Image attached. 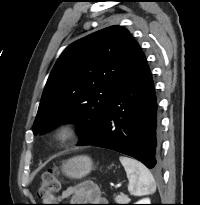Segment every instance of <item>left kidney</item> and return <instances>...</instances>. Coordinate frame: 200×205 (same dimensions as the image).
Instances as JSON below:
<instances>
[{
  "label": "left kidney",
  "mask_w": 200,
  "mask_h": 205,
  "mask_svg": "<svg viewBox=\"0 0 200 205\" xmlns=\"http://www.w3.org/2000/svg\"><path fill=\"white\" fill-rule=\"evenodd\" d=\"M136 204H151V203H150L149 198H144V199L139 200L138 202H136Z\"/></svg>",
  "instance_id": "left-kidney-1"
}]
</instances>
